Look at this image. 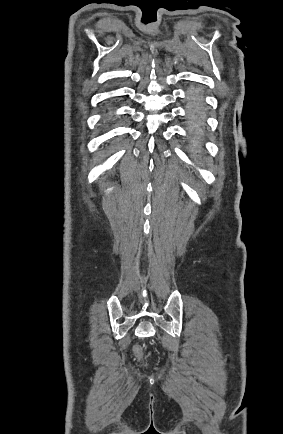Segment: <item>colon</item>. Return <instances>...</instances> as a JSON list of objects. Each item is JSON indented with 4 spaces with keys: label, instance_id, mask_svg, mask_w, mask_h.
I'll use <instances>...</instances> for the list:
<instances>
[{
    "label": "colon",
    "instance_id": "obj_1",
    "mask_svg": "<svg viewBox=\"0 0 283 434\" xmlns=\"http://www.w3.org/2000/svg\"><path fill=\"white\" fill-rule=\"evenodd\" d=\"M135 353L137 354V356L141 357L142 356V352L139 348H136Z\"/></svg>",
    "mask_w": 283,
    "mask_h": 434
}]
</instances>
